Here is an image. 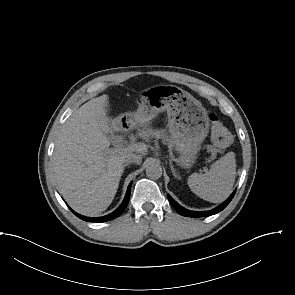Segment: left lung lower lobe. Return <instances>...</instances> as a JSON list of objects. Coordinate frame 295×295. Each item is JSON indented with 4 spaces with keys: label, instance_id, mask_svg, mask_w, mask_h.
Here are the masks:
<instances>
[{
    "label": "left lung lower lobe",
    "instance_id": "0a47b994",
    "mask_svg": "<svg viewBox=\"0 0 295 295\" xmlns=\"http://www.w3.org/2000/svg\"><path fill=\"white\" fill-rule=\"evenodd\" d=\"M235 192L236 191H234L233 194L220 206H218L217 208H215L213 210L205 211V212H195V211L187 210V209L183 208L182 206H180L177 202H175L169 194H168V199H169V202L171 203V205L173 206V208L180 215L187 216V217H205V216L214 215V214L222 211L230 203V201L232 200V198L235 195Z\"/></svg>",
    "mask_w": 295,
    "mask_h": 295
}]
</instances>
